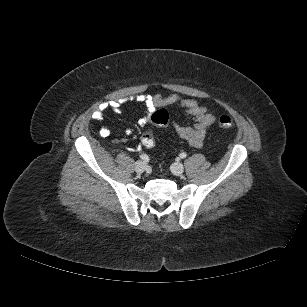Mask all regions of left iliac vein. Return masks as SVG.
<instances>
[{"label":"left iliac vein","mask_w":307,"mask_h":307,"mask_svg":"<svg viewBox=\"0 0 307 307\" xmlns=\"http://www.w3.org/2000/svg\"><path fill=\"white\" fill-rule=\"evenodd\" d=\"M171 171L174 175H181L183 174L184 172V166L181 164V163H174L172 166H171Z\"/></svg>","instance_id":"4c4485c4"}]
</instances>
